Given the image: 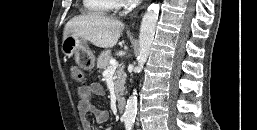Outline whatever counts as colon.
Segmentation results:
<instances>
[{
  "mask_svg": "<svg viewBox=\"0 0 257 130\" xmlns=\"http://www.w3.org/2000/svg\"><path fill=\"white\" fill-rule=\"evenodd\" d=\"M71 76H72L73 80L78 83L84 82V78H85L84 72L78 67L71 68Z\"/></svg>",
  "mask_w": 257,
  "mask_h": 130,
  "instance_id": "obj_1",
  "label": "colon"
}]
</instances>
